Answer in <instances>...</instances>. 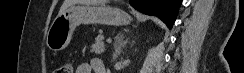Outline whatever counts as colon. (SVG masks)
I'll return each mask as SVG.
<instances>
[{
  "mask_svg": "<svg viewBox=\"0 0 244 73\" xmlns=\"http://www.w3.org/2000/svg\"><path fill=\"white\" fill-rule=\"evenodd\" d=\"M74 65L71 61L64 62L56 71V73H73Z\"/></svg>",
  "mask_w": 244,
  "mask_h": 73,
  "instance_id": "1",
  "label": "colon"
}]
</instances>
